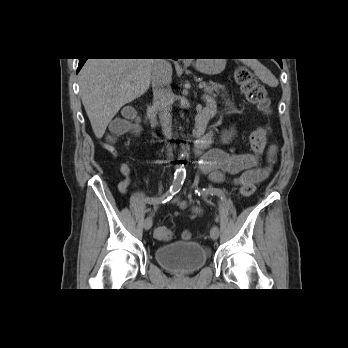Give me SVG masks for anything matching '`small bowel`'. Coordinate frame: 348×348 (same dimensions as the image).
I'll list each match as a JSON object with an SVG mask.
<instances>
[{"instance_id": "obj_1", "label": "small bowel", "mask_w": 348, "mask_h": 348, "mask_svg": "<svg viewBox=\"0 0 348 348\" xmlns=\"http://www.w3.org/2000/svg\"><path fill=\"white\" fill-rule=\"evenodd\" d=\"M215 107L209 96L205 97L204 107ZM268 166L263 169L257 167V158L250 153H229L223 149H212L202 155L201 171L210 176L215 182L225 180L227 175L234 176L231 184L242 186L246 184H256L265 179L276 160V146L271 145L267 154ZM120 172L123 179L118 187L121 192H125L132 182L131 168L128 163H122ZM180 207H184L183 202H178ZM155 210L151 211L154 214Z\"/></svg>"}]
</instances>
